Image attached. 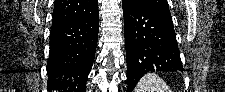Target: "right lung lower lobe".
Returning a JSON list of instances; mask_svg holds the SVG:
<instances>
[{"label": "right lung lower lobe", "mask_w": 225, "mask_h": 92, "mask_svg": "<svg viewBox=\"0 0 225 92\" xmlns=\"http://www.w3.org/2000/svg\"><path fill=\"white\" fill-rule=\"evenodd\" d=\"M99 29L98 11L88 17L51 27L47 61L48 88L85 92Z\"/></svg>", "instance_id": "right-lung-lower-lobe-1"}]
</instances>
